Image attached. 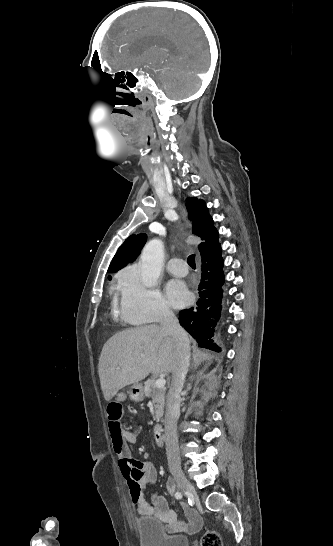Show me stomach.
Here are the masks:
<instances>
[{"label":"stomach","instance_id":"obj_1","mask_svg":"<svg viewBox=\"0 0 333 546\" xmlns=\"http://www.w3.org/2000/svg\"><path fill=\"white\" fill-rule=\"evenodd\" d=\"M129 398L135 402H140L144 399V392L141 384H134L128 392Z\"/></svg>","mask_w":333,"mask_h":546}]
</instances>
